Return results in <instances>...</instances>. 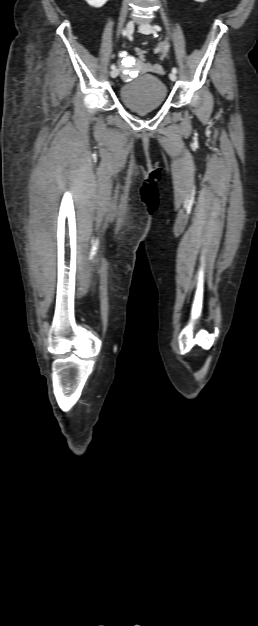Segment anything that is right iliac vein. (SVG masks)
<instances>
[{
  "instance_id": "obj_1",
  "label": "right iliac vein",
  "mask_w": 258,
  "mask_h": 626,
  "mask_svg": "<svg viewBox=\"0 0 258 626\" xmlns=\"http://www.w3.org/2000/svg\"><path fill=\"white\" fill-rule=\"evenodd\" d=\"M133 31H134V23H133V21H129V22L126 24V32H127V35H128V36H129V35H131V34L133 33ZM118 74H119V70H118V69H113V70L110 72V76H111L112 78H116V77L118 76Z\"/></svg>"
}]
</instances>
